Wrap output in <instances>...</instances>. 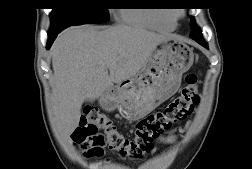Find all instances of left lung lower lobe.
<instances>
[{
	"label": "left lung lower lobe",
	"instance_id": "0a47b994",
	"mask_svg": "<svg viewBox=\"0 0 252 169\" xmlns=\"http://www.w3.org/2000/svg\"><path fill=\"white\" fill-rule=\"evenodd\" d=\"M192 39L196 40L200 45L205 48H208L207 43L203 40L202 33L197 32L196 34L190 36Z\"/></svg>",
	"mask_w": 252,
	"mask_h": 169
}]
</instances>
